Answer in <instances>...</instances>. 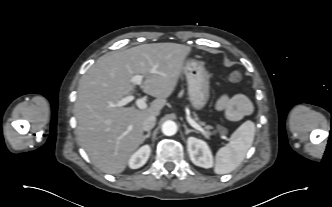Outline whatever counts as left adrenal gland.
Here are the masks:
<instances>
[{
	"instance_id": "obj_1",
	"label": "left adrenal gland",
	"mask_w": 332,
	"mask_h": 207,
	"mask_svg": "<svg viewBox=\"0 0 332 207\" xmlns=\"http://www.w3.org/2000/svg\"><path fill=\"white\" fill-rule=\"evenodd\" d=\"M184 128H185V134L188 135L189 133L191 132H196L195 130L193 129H189L185 124H183Z\"/></svg>"
}]
</instances>
